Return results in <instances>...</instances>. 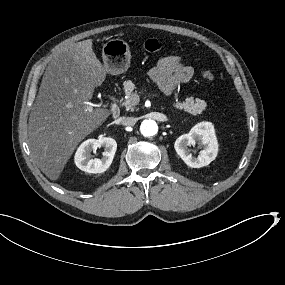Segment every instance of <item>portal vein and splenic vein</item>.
Listing matches in <instances>:
<instances>
[{"label":"portal vein and splenic vein","mask_w":285,"mask_h":285,"mask_svg":"<svg viewBox=\"0 0 285 285\" xmlns=\"http://www.w3.org/2000/svg\"><path fill=\"white\" fill-rule=\"evenodd\" d=\"M89 106H90L91 108H93V107H94V104H93V103H89Z\"/></svg>","instance_id":"obj_1"}]
</instances>
